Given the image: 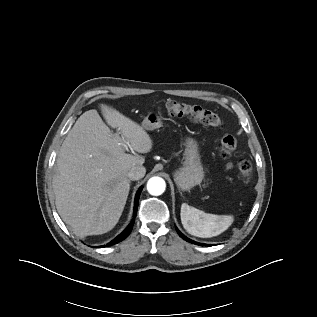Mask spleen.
Masks as SVG:
<instances>
[{
    "instance_id": "obj_1",
    "label": "spleen",
    "mask_w": 317,
    "mask_h": 317,
    "mask_svg": "<svg viewBox=\"0 0 317 317\" xmlns=\"http://www.w3.org/2000/svg\"><path fill=\"white\" fill-rule=\"evenodd\" d=\"M180 216L184 229L189 234L201 238H210L223 233L234 221L232 215L205 213L185 203L181 206Z\"/></svg>"
}]
</instances>
